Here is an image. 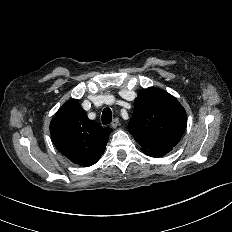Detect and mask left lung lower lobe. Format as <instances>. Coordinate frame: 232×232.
Here are the masks:
<instances>
[{
  "label": "left lung lower lobe",
  "mask_w": 232,
  "mask_h": 232,
  "mask_svg": "<svg viewBox=\"0 0 232 232\" xmlns=\"http://www.w3.org/2000/svg\"><path fill=\"white\" fill-rule=\"evenodd\" d=\"M173 149V147H164V148H159V149H143V153H145L148 156L151 157H161L168 152H170Z\"/></svg>",
  "instance_id": "1"
}]
</instances>
